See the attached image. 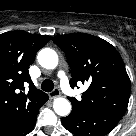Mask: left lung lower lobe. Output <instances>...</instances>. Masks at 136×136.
Instances as JSON below:
<instances>
[{"mask_svg":"<svg viewBox=\"0 0 136 136\" xmlns=\"http://www.w3.org/2000/svg\"><path fill=\"white\" fill-rule=\"evenodd\" d=\"M121 117L72 108L69 116L61 118L63 126L77 136H103L108 134Z\"/></svg>","mask_w":136,"mask_h":136,"instance_id":"left-lung-lower-lobe-1","label":"left lung lower lobe"}]
</instances>
